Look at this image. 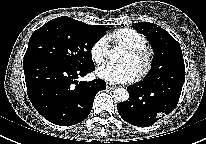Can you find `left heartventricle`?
I'll list each match as a JSON object with an SVG mask.
<instances>
[{"label": "left heart ventricle", "instance_id": "b2bd125f", "mask_svg": "<svg viewBox=\"0 0 206 144\" xmlns=\"http://www.w3.org/2000/svg\"><path fill=\"white\" fill-rule=\"evenodd\" d=\"M123 63H130L131 65H133V67L135 68L136 72L138 73L139 71V68H140V63L138 60H136L135 58H133L129 52L127 51L122 60H121Z\"/></svg>", "mask_w": 206, "mask_h": 144}]
</instances>
